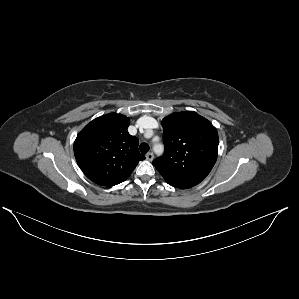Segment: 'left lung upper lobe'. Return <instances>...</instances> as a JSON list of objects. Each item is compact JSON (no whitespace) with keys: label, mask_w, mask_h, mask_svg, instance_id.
I'll return each mask as SVG.
<instances>
[{"label":"left lung upper lobe","mask_w":299,"mask_h":299,"mask_svg":"<svg viewBox=\"0 0 299 299\" xmlns=\"http://www.w3.org/2000/svg\"><path fill=\"white\" fill-rule=\"evenodd\" d=\"M165 153L152 164L168 184L195 186L212 170L218 132L194 111L173 113L162 121Z\"/></svg>","instance_id":"left-lung-upper-lobe-1"}]
</instances>
